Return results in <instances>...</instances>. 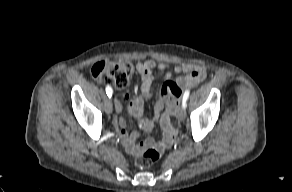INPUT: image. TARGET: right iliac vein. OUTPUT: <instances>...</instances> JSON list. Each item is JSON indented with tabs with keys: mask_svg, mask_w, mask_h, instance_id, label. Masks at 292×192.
Returning <instances> with one entry per match:
<instances>
[{
	"mask_svg": "<svg viewBox=\"0 0 292 192\" xmlns=\"http://www.w3.org/2000/svg\"><path fill=\"white\" fill-rule=\"evenodd\" d=\"M112 108H113L112 100L111 99H108L105 102V111H106V113L107 114H110L112 112Z\"/></svg>",
	"mask_w": 292,
	"mask_h": 192,
	"instance_id": "63e3f726",
	"label": "right iliac vein"
}]
</instances>
